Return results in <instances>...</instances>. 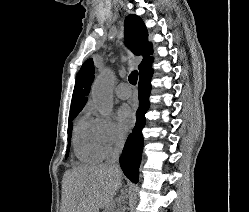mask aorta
Masks as SVG:
<instances>
[{
  "mask_svg": "<svg viewBox=\"0 0 249 212\" xmlns=\"http://www.w3.org/2000/svg\"><path fill=\"white\" fill-rule=\"evenodd\" d=\"M114 73L106 68L96 77L91 94L98 111L103 116H107L113 109V84Z\"/></svg>",
  "mask_w": 249,
  "mask_h": 212,
  "instance_id": "1",
  "label": "aorta"
}]
</instances>
